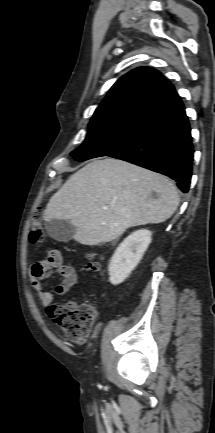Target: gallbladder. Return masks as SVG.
<instances>
[{"label": "gallbladder", "instance_id": "gallbladder-1", "mask_svg": "<svg viewBox=\"0 0 215 433\" xmlns=\"http://www.w3.org/2000/svg\"><path fill=\"white\" fill-rule=\"evenodd\" d=\"M47 233L59 242H68L73 239L76 227L67 220L53 219L45 224Z\"/></svg>", "mask_w": 215, "mask_h": 433}]
</instances>
